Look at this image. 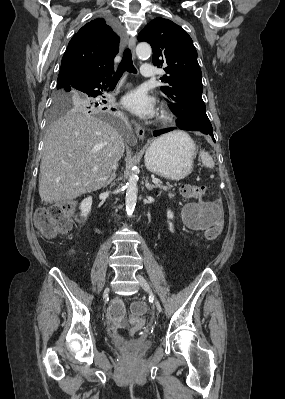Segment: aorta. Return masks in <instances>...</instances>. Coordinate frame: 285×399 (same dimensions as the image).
<instances>
[{"instance_id": "762f6f07", "label": "aorta", "mask_w": 285, "mask_h": 399, "mask_svg": "<svg viewBox=\"0 0 285 399\" xmlns=\"http://www.w3.org/2000/svg\"><path fill=\"white\" fill-rule=\"evenodd\" d=\"M151 53L152 50L148 43L142 42L139 43L136 47V54L140 59L150 57ZM126 186H127L126 198H125L126 212L128 214H132L136 206L137 193H138L137 177L135 173L131 174Z\"/></svg>"}]
</instances>
